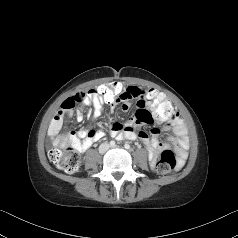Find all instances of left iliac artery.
Returning <instances> with one entry per match:
<instances>
[{
	"label": "left iliac artery",
	"instance_id": "44dca946",
	"mask_svg": "<svg viewBox=\"0 0 238 238\" xmlns=\"http://www.w3.org/2000/svg\"><path fill=\"white\" fill-rule=\"evenodd\" d=\"M124 147H125L126 149H130V145H129V144H125Z\"/></svg>",
	"mask_w": 238,
	"mask_h": 238
}]
</instances>
